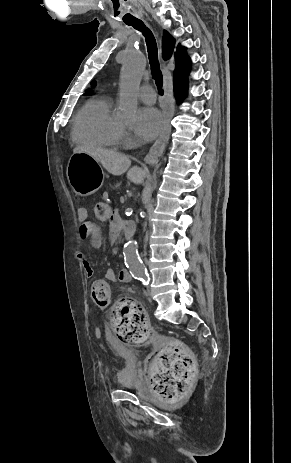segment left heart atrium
I'll list each match as a JSON object with an SVG mask.
<instances>
[{
    "mask_svg": "<svg viewBox=\"0 0 291 463\" xmlns=\"http://www.w3.org/2000/svg\"><path fill=\"white\" fill-rule=\"evenodd\" d=\"M164 120L155 108H143L138 112L136 130L142 140H151L161 134Z\"/></svg>",
    "mask_w": 291,
    "mask_h": 463,
    "instance_id": "1",
    "label": "left heart atrium"
}]
</instances>
